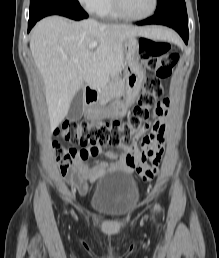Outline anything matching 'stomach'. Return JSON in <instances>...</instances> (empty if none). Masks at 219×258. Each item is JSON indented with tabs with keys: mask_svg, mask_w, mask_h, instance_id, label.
I'll return each instance as SVG.
<instances>
[{
	"mask_svg": "<svg viewBox=\"0 0 219 258\" xmlns=\"http://www.w3.org/2000/svg\"><path fill=\"white\" fill-rule=\"evenodd\" d=\"M126 52V73L120 93L110 95L106 102H101L105 92L100 94L99 101H92L86 107V116L90 119L106 117H123L126 115L141 90L146 73L139 55V41L135 36L128 37L124 42ZM123 96V100L120 97ZM109 102L108 105L106 103Z\"/></svg>",
	"mask_w": 219,
	"mask_h": 258,
	"instance_id": "0dacf381",
	"label": "stomach"
}]
</instances>
